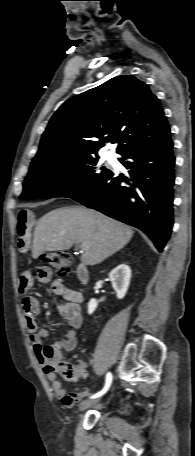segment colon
Listing matches in <instances>:
<instances>
[{"label": "colon", "instance_id": "1", "mask_svg": "<svg viewBox=\"0 0 195 456\" xmlns=\"http://www.w3.org/2000/svg\"><path fill=\"white\" fill-rule=\"evenodd\" d=\"M41 259L44 263L53 267L60 276L67 275L70 272L72 258L67 251L49 252L44 254ZM46 371L58 373L67 381H75L83 374V371L78 366L66 360H59L47 365Z\"/></svg>", "mask_w": 195, "mask_h": 456}]
</instances>
